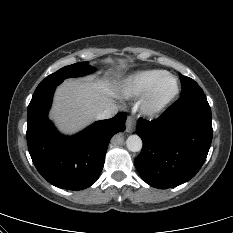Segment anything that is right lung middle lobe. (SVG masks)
Listing matches in <instances>:
<instances>
[{"instance_id": "obj_1", "label": "right lung middle lobe", "mask_w": 233, "mask_h": 233, "mask_svg": "<svg viewBox=\"0 0 233 233\" xmlns=\"http://www.w3.org/2000/svg\"><path fill=\"white\" fill-rule=\"evenodd\" d=\"M94 68L87 65V63L80 62L61 68L55 73L47 76L36 88L33 95L39 94L51 88H55L64 79L69 77L83 76L92 73Z\"/></svg>"}]
</instances>
